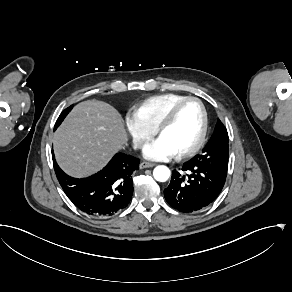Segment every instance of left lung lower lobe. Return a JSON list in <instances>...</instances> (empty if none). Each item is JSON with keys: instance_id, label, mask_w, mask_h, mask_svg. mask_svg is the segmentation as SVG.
<instances>
[{"instance_id": "0a47b994", "label": "left lung lower lobe", "mask_w": 292, "mask_h": 292, "mask_svg": "<svg viewBox=\"0 0 292 292\" xmlns=\"http://www.w3.org/2000/svg\"><path fill=\"white\" fill-rule=\"evenodd\" d=\"M228 165L206 163L192 158L181 169L172 171L169 186L164 189L167 203L182 213L200 211L220 194Z\"/></svg>"}]
</instances>
